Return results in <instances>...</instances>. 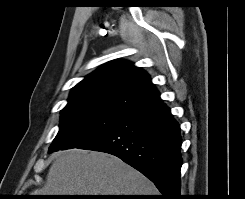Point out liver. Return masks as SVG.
<instances>
[{"mask_svg":"<svg viewBox=\"0 0 245 199\" xmlns=\"http://www.w3.org/2000/svg\"><path fill=\"white\" fill-rule=\"evenodd\" d=\"M154 184L119 158L102 152H60L45 185L32 195H157Z\"/></svg>","mask_w":245,"mask_h":199,"instance_id":"1","label":"liver"}]
</instances>
